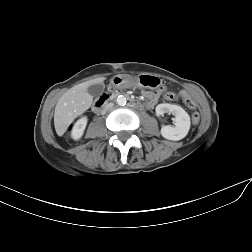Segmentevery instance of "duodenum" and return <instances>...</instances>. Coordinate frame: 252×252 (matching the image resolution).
<instances>
[{
    "instance_id": "duodenum-1",
    "label": "duodenum",
    "mask_w": 252,
    "mask_h": 252,
    "mask_svg": "<svg viewBox=\"0 0 252 252\" xmlns=\"http://www.w3.org/2000/svg\"><path fill=\"white\" fill-rule=\"evenodd\" d=\"M115 95L114 92L110 93V94H104L102 96H100L95 104H94V110L96 112H101L106 105L108 104V102L111 100V98ZM130 104L137 109H143L144 105L141 102H138L134 99H130ZM147 106V105H146Z\"/></svg>"
}]
</instances>
